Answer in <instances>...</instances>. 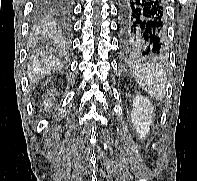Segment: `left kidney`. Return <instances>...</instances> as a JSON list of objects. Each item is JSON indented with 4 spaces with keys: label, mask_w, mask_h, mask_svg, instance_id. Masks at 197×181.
<instances>
[{
    "label": "left kidney",
    "mask_w": 197,
    "mask_h": 181,
    "mask_svg": "<svg viewBox=\"0 0 197 181\" xmlns=\"http://www.w3.org/2000/svg\"><path fill=\"white\" fill-rule=\"evenodd\" d=\"M131 122L140 138L146 137L152 124L153 107L151 102L143 96L136 95L133 100Z\"/></svg>",
    "instance_id": "left-kidney-1"
}]
</instances>
